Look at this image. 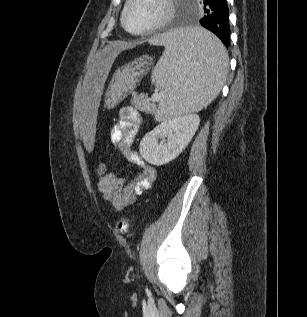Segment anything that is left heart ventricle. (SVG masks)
I'll return each mask as SVG.
<instances>
[{
  "label": "left heart ventricle",
  "mask_w": 307,
  "mask_h": 317,
  "mask_svg": "<svg viewBox=\"0 0 307 317\" xmlns=\"http://www.w3.org/2000/svg\"><path fill=\"white\" fill-rule=\"evenodd\" d=\"M164 0H136L126 15V25L132 31H140L158 22L166 13Z\"/></svg>",
  "instance_id": "left-heart-ventricle-1"
}]
</instances>
